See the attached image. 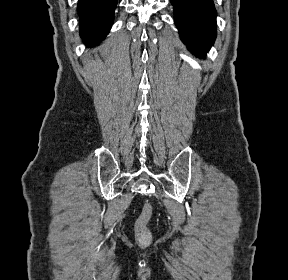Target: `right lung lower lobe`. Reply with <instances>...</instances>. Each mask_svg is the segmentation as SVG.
Instances as JSON below:
<instances>
[{"instance_id": "obj_1", "label": "right lung lower lobe", "mask_w": 288, "mask_h": 280, "mask_svg": "<svg viewBox=\"0 0 288 280\" xmlns=\"http://www.w3.org/2000/svg\"><path fill=\"white\" fill-rule=\"evenodd\" d=\"M116 6L117 0H78L80 35L87 45H96L108 34Z\"/></svg>"}]
</instances>
